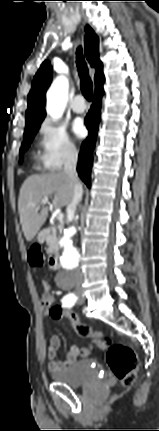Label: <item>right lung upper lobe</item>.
Segmentation results:
<instances>
[{
    "label": "right lung upper lobe",
    "mask_w": 159,
    "mask_h": 431,
    "mask_svg": "<svg viewBox=\"0 0 159 431\" xmlns=\"http://www.w3.org/2000/svg\"><path fill=\"white\" fill-rule=\"evenodd\" d=\"M99 39L93 30L87 26L85 35V56L89 64L96 68L95 84L96 86L104 81L102 73L103 65L99 60L98 53ZM52 80V68L49 61H44L36 73L32 82V88L28 95V109L26 111V127L25 130L39 125L45 113V93Z\"/></svg>",
    "instance_id": "obj_1"
}]
</instances>
